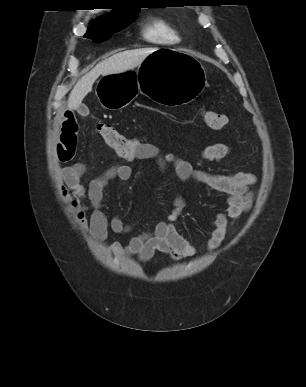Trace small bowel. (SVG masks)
I'll return each mask as SVG.
<instances>
[{"label":"small bowel","instance_id":"1","mask_svg":"<svg viewBox=\"0 0 306 387\" xmlns=\"http://www.w3.org/2000/svg\"><path fill=\"white\" fill-rule=\"evenodd\" d=\"M79 125L75 114L67 112L59 123V135L55 144V153L59 161L70 162L76 153ZM231 153L226 144H213L205 147L199 154L200 161H219ZM127 161L153 160L161 171L172 165L180 181L194 180L225 198V210L218 211L214 219V229L207 242L208 250L217 249L225 239L228 227L247 212L252 203L249 187L254 184L255 176L248 172L232 174H213L195 169L192 161L174 153H162L149 142H142ZM62 195L68 210L78 225L97 241L106 240L108 231L126 234L132 226L125 224L119 217L111 219L103 211V199L106 187L111 181L121 184L132 177V168L126 164H114L94 177L85 185L82 182L85 173L83 164L76 163L62 168ZM185 208L184 198L177 194L173 200V209L165 220L154 223L148 231L133 236L127 244L114 242L110 251L114 255L137 256L142 262L149 261L156 252L169 255L173 259L191 257L196 248L177 230L175 222ZM91 211L89 214L88 212Z\"/></svg>","mask_w":306,"mask_h":387}]
</instances>
